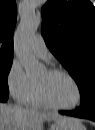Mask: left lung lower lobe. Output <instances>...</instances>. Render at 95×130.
<instances>
[{
	"instance_id": "1",
	"label": "left lung lower lobe",
	"mask_w": 95,
	"mask_h": 130,
	"mask_svg": "<svg viewBox=\"0 0 95 130\" xmlns=\"http://www.w3.org/2000/svg\"><path fill=\"white\" fill-rule=\"evenodd\" d=\"M61 114L95 121V93L90 95L75 111H60Z\"/></svg>"
}]
</instances>
